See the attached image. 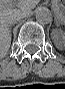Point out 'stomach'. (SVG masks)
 Wrapping results in <instances>:
<instances>
[{
    "label": "stomach",
    "instance_id": "stomach-1",
    "mask_svg": "<svg viewBox=\"0 0 65 89\" xmlns=\"http://www.w3.org/2000/svg\"><path fill=\"white\" fill-rule=\"evenodd\" d=\"M53 11L62 23L65 22V3L64 2H55L52 4Z\"/></svg>",
    "mask_w": 65,
    "mask_h": 89
}]
</instances>
